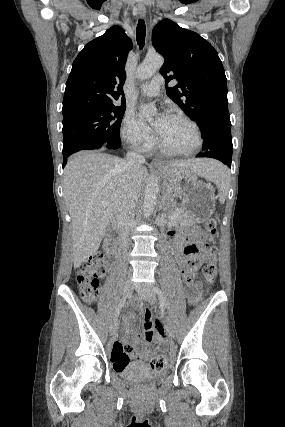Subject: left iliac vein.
<instances>
[{
	"label": "left iliac vein",
	"mask_w": 285,
	"mask_h": 427,
	"mask_svg": "<svg viewBox=\"0 0 285 427\" xmlns=\"http://www.w3.org/2000/svg\"><path fill=\"white\" fill-rule=\"evenodd\" d=\"M141 298L149 303H153L155 301V293L152 289L147 288L139 292ZM166 335L169 339L174 337V326L171 319L166 317Z\"/></svg>",
	"instance_id": "obj_1"
}]
</instances>
